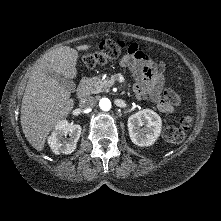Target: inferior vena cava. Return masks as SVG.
<instances>
[{"label": "inferior vena cava", "instance_id": "602c4592", "mask_svg": "<svg viewBox=\"0 0 221 221\" xmlns=\"http://www.w3.org/2000/svg\"><path fill=\"white\" fill-rule=\"evenodd\" d=\"M96 103H97L96 98H94L92 96H89V97H86V98L82 99L80 101L79 106L82 109H89V108L94 107L96 105Z\"/></svg>", "mask_w": 221, "mask_h": 221}]
</instances>
